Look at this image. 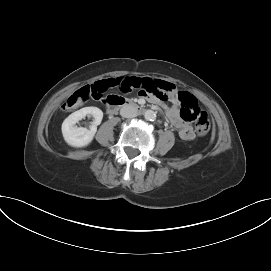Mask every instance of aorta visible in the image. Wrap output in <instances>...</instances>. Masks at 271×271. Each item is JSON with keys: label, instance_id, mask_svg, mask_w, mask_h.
Returning <instances> with one entry per match:
<instances>
[{"label": "aorta", "instance_id": "obj_1", "mask_svg": "<svg viewBox=\"0 0 271 271\" xmlns=\"http://www.w3.org/2000/svg\"><path fill=\"white\" fill-rule=\"evenodd\" d=\"M144 117L146 120L153 121L156 119V113L153 110H146Z\"/></svg>", "mask_w": 271, "mask_h": 271}]
</instances>
